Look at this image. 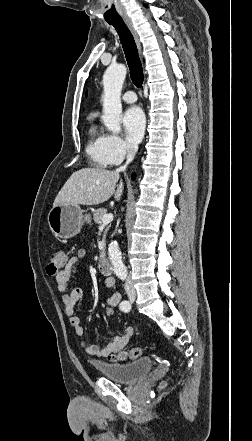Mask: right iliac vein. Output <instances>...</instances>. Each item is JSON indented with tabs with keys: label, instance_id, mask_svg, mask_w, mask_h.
I'll return each instance as SVG.
<instances>
[{
	"label": "right iliac vein",
	"instance_id": "1",
	"mask_svg": "<svg viewBox=\"0 0 252 441\" xmlns=\"http://www.w3.org/2000/svg\"><path fill=\"white\" fill-rule=\"evenodd\" d=\"M127 295H128V297H129L130 301H132V302L136 299V293H135V291L128 290V291H127Z\"/></svg>",
	"mask_w": 252,
	"mask_h": 441
}]
</instances>
